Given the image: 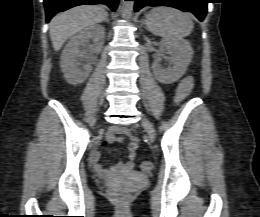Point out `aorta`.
Listing matches in <instances>:
<instances>
[{"label": "aorta", "mask_w": 260, "mask_h": 217, "mask_svg": "<svg viewBox=\"0 0 260 217\" xmlns=\"http://www.w3.org/2000/svg\"><path fill=\"white\" fill-rule=\"evenodd\" d=\"M134 7L133 1H124L122 3V15L124 18L128 19L132 16V11Z\"/></svg>", "instance_id": "aorta-1"}]
</instances>
